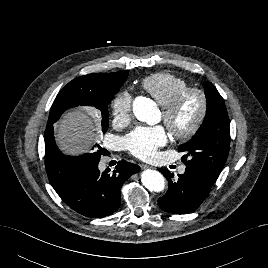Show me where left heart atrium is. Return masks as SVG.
<instances>
[{"instance_id":"1","label":"left heart atrium","mask_w":268,"mask_h":268,"mask_svg":"<svg viewBox=\"0 0 268 268\" xmlns=\"http://www.w3.org/2000/svg\"><path fill=\"white\" fill-rule=\"evenodd\" d=\"M125 148L135 157L152 160L157 150L167 143L166 131L162 126L137 127L124 139Z\"/></svg>"}]
</instances>
